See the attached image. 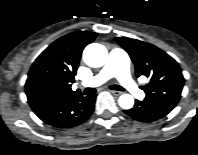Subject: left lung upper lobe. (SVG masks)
Wrapping results in <instances>:
<instances>
[{
	"mask_svg": "<svg viewBox=\"0 0 198 155\" xmlns=\"http://www.w3.org/2000/svg\"><path fill=\"white\" fill-rule=\"evenodd\" d=\"M115 40L127 51L135 64L136 76L150 79L144 89L145 100L178 103L184 78L178 63L167 53L149 43L127 37Z\"/></svg>",
	"mask_w": 198,
	"mask_h": 155,
	"instance_id": "obj_1",
	"label": "left lung upper lobe"
}]
</instances>
